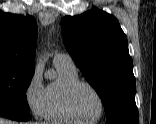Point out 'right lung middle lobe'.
I'll list each match as a JSON object with an SVG mask.
<instances>
[{
  "label": "right lung middle lobe",
  "instance_id": "1",
  "mask_svg": "<svg viewBox=\"0 0 156 124\" xmlns=\"http://www.w3.org/2000/svg\"><path fill=\"white\" fill-rule=\"evenodd\" d=\"M34 69L0 65V106L29 112L26 91Z\"/></svg>",
  "mask_w": 156,
  "mask_h": 124
}]
</instances>
